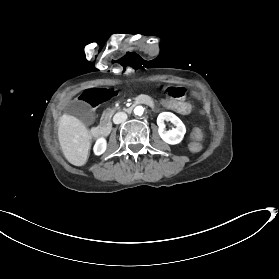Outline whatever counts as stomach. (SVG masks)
Here are the masks:
<instances>
[{
    "label": "stomach",
    "instance_id": "1",
    "mask_svg": "<svg viewBox=\"0 0 279 279\" xmlns=\"http://www.w3.org/2000/svg\"><path fill=\"white\" fill-rule=\"evenodd\" d=\"M161 105L165 109L172 107L173 110L181 111L183 113L192 114L195 111L194 105L189 104L188 102L182 101V100H176V101L172 102V100L165 98L162 100Z\"/></svg>",
    "mask_w": 279,
    "mask_h": 279
}]
</instances>
